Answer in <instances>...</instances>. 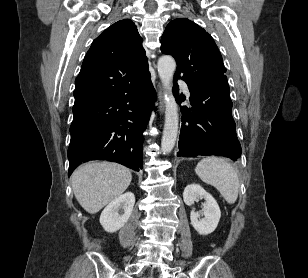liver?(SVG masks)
<instances>
[{
	"mask_svg": "<svg viewBox=\"0 0 308 278\" xmlns=\"http://www.w3.org/2000/svg\"><path fill=\"white\" fill-rule=\"evenodd\" d=\"M132 174L126 167L112 162H92L79 166L71 183L79 204L90 214L120 197L128 188Z\"/></svg>",
	"mask_w": 308,
	"mask_h": 278,
	"instance_id": "obj_1",
	"label": "liver"
}]
</instances>
